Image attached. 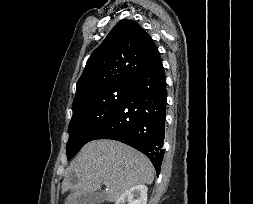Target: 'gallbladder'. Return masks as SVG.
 <instances>
[{
	"label": "gallbladder",
	"mask_w": 253,
	"mask_h": 204,
	"mask_svg": "<svg viewBox=\"0 0 253 204\" xmlns=\"http://www.w3.org/2000/svg\"><path fill=\"white\" fill-rule=\"evenodd\" d=\"M105 200L104 193L91 192L78 198V204H101Z\"/></svg>",
	"instance_id": "bac80fb5"
}]
</instances>
